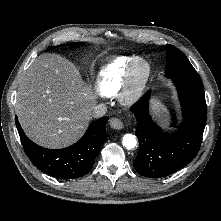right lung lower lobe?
Segmentation results:
<instances>
[{
	"label": "right lung lower lobe",
	"instance_id": "98d812e1",
	"mask_svg": "<svg viewBox=\"0 0 221 221\" xmlns=\"http://www.w3.org/2000/svg\"><path fill=\"white\" fill-rule=\"evenodd\" d=\"M107 121L108 117H102L92 122L84 136L70 147L46 149L32 142L15 118L22 145L31 162L41 171L59 179L81 177L90 171L101 145L107 139Z\"/></svg>",
	"mask_w": 221,
	"mask_h": 221
}]
</instances>
